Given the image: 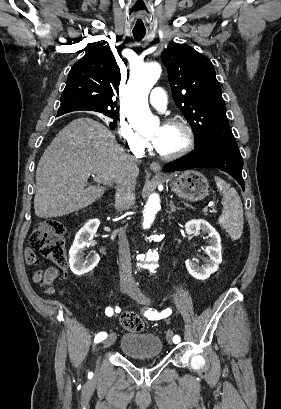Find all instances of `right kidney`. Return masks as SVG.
Instances as JSON below:
<instances>
[{"mask_svg":"<svg viewBox=\"0 0 281 409\" xmlns=\"http://www.w3.org/2000/svg\"><path fill=\"white\" fill-rule=\"evenodd\" d=\"M99 225V219H89L75 235L73 245L70 249V255L71 271L74 275H77V277H81V275H86V273L93 271L94 267H96L100 261V257L97 253H89L87 257H84L85 247L90 245V241H92L93 235L97 233Z\"/></svg>","mask_w":281,"mask_h":409,"instance_id":"ca27d5eb","label":"right kidney"}]
</instances>
